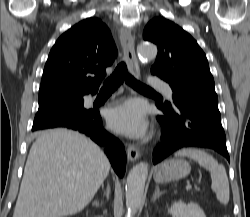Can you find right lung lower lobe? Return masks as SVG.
Instances as JSON below:
<instances>
[{"instance_id": "right-lung-lower-lobe-1", "label": "right lung lower lobe", "mask_w": 250, "mask_h": 217, "mask_svg": "<svg viewBox=\"0 0 250 217\" xmlns=\"http://www.w3.org/2000/svg\"><path fill=\"white\" fill-rule=\"evenodd\" d=\"M60 127L84 133L98 145L105 147V153L117 175L120 177L124 175L126 165L124 146L117 138L103 129L102 119L98 111L89 110V113L85 117L78 120H61L47 124L35 130L34 133H38L44 129Z\"/></svg>"}]
</instances>
